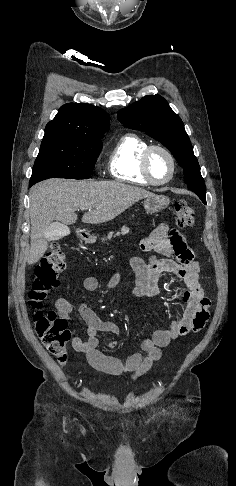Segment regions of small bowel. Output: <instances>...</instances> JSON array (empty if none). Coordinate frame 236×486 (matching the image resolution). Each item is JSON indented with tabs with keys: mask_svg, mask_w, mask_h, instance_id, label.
<instances>
[{
	"mask_svg": "<svg viewBox=\"0 0 236 486\" xmlns=\"http://www.w3.org/2000/svg\"><path fill=\"white\" fill-rule=\"evenodd\" d=\"M144 251H154L163 257L150 256L148 261L134 256L130 259V266L135 274V286L132 294L137 298H151L159 293L158 281L162 274H170L180 278L186 285V289L180 293V298L185 305L181 317L174 320L169 328L158 329L151 337L141 343V351L130 355L125 361L108 356L98 350L99 332H107L119 335L121 329L112 321L102 320L88 306L81 302L78 312L87 324V338L82 339L72 332V347L77 352L85 354L91 367L95 370L110 375L119 376L131 373L134 379L146 374L162 356V349L169 345L171 340L191 332L201 331L209 319V299L199 283V265L193 258L191 249L180 233L171 229L167 224L157 226L148 237L140 243ZM120 281V274L116 273L107 282V289H114ZM99 282L96 277H87L83 281V290L94 291ZM55 308L60 318L67 322L73 311L72 304L65 298L55 301ZM116 346L115 341L108 344L110 349Z\"/></svg>",
	"mask_w": 236,
	"mask_h": 486,
	"instance_id": "obj_1",
	"label": "small bowel"
}]
</instances>
